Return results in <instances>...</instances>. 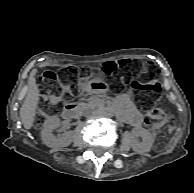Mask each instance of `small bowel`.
Returning a JSON list of instances; mask_svg holds the SVG:
<instances>
[{
  "mask_svg": "<svg viewBox=\"0 0 194 193\" xmlns=\"http://www.w3.org/2000/svg\"><path fill=\"white\" fill-rule=\"evenodd\" d=\"M123 102L127 107L130 124L134 127H140L143 124V115L133 107L130 100L123 99Z\"/></svg>",
  "mask_w": 194,
  "mask_h": 193,
  "instance_id": "1",
  "label": "small bowel"
}]
</instances>
